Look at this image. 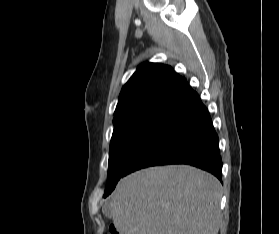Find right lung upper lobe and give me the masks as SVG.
<instances>
[{
  "mask_svg": "<svg viewBox=\"0 0 279 234\" xmlns=\"http://www.w3.org/2000/svg\"><path fill=\"white\" fill-rule=\"evenodd\" d=\"M190 90L186 79L170 66L144 63L123 86L114 116L153 106L172 107Z\"/></svg>",
  "mask_w": 279,
  "mask_h": 234,
  "instance_id": "right-lung-upper-lobe-1",
  "label": "right lung upper lobe"
}]
</instances>
